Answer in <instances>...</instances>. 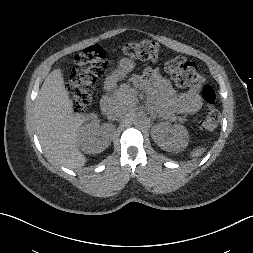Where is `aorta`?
Wrapping results in <instances>:
<instances>
[{"mask_svg":"<svg viewBox=\"0 0 253 253\" xmlns=\"http://www.w3.org/2000/svg\"><path fill=\"white\" fill-rule=\"evenodd\" d=\"M132 118L136 124H142L146 121V116L143 112H134Z\"/></svg>","mask_w":253,"mask_h":253,"instance_id":"762f6f07","label":"aorta"}]
</instances>
